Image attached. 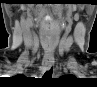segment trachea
Returning a JSON list of instances; mask_svg holds the SVG:
<instances>
[{"mask_svg":"<svg viewBox=\"0 0 97 87\" xmlns=\"http://www.w3.org/2000/svg\"><path fill=\"white\" fill-rule=\"evenodd\" d=\"M52 73H53V68H51L49 71H47L43 78H50L52 76Z\"/></svg>","mask_w":97,"mask_h":87,"instance_id":"1","label":"trachea"}]
</instances>
